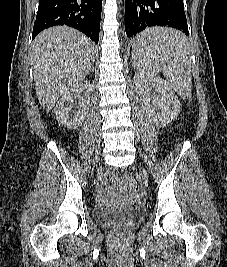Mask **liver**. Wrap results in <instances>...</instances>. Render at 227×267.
Here are the masks:
<instances>
[{"label":"liver","instance_id":"liver-1","mask_svg":"<svg viewBox=\"0 0 227 267\" xmlns=\"http://www.w3.org/2000/svg\"><path fill=\"white\" fill-rule=\"evenodd\" d=\"M31 60L38 100L49 112L61 95L91 71L93 42L73 28L51 27L34 39Z\"/></svg>","mask_w":227,"mask_h":267}]
</instances>
